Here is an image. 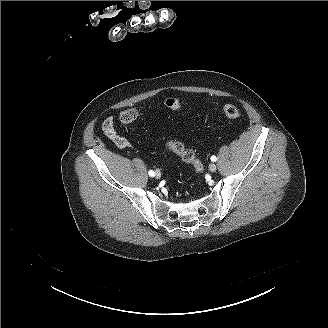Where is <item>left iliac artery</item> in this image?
<instances>
[{"mask_svg": "<svg viewBox=\"0 0 328 328\" xmlns=\"http://www.w3.org/2000/svg\"><path fill=\"white\" fill-rule=\"evenodd\" d=\"M217 160L216 156H211V161L215 162Z\"/></svg>", "mask_w": 328, "mask_h": 328, "instance_id": "obj_1", "label": "left iliac artery"}]
</instances>
